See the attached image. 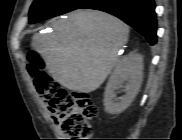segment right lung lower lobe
Masks as SVG:
<instances>
[{
  "label": "right lung lower lobe",
  "instance_id": "1",
  "mask_svg": "<svg viewBox=\"0 0 182 140\" xmlns=\"http://www.w3.org/2000/svg\"><path fill=\"white\" fill-rule=\"evenodd\" d=\"M78 9L110 13L141 33L151 45L157 42L154 0H88Z\"/></svg>",
  "mask_w": 182,
  "mask_h": 140
}]
</instances>
